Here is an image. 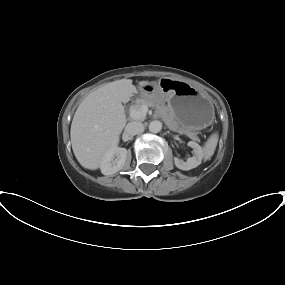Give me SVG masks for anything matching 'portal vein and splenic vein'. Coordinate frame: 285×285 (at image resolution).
I'll use <instances>...</instances> for the list:
<instances>
[{"mask_svg":"<svg viewBox=\"0 0 285 285\" xmlns=\"http://www.w3.org/2000/svg\"><path fill=\"white\" fill-rule=\"evenodd\" d=\"M147 112H148V106L146 105H143L139 110H136L133 107L130 108V116L136 119L145 117Z\"/></svg>","mask_w":285,"mask_h":285,"instance_id":"18ae733b","label":"portal vein and splenic vein"}]
</instances>
